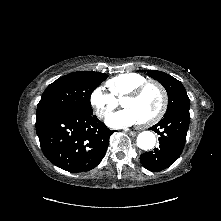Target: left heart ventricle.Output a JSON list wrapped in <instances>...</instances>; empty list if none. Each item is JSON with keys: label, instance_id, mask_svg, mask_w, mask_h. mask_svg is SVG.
<instances>
[{"label": "left heart ventricle", "instance_id": "left-heart-ventricle-1", "mask_svg": "<svg viewBox=\"0 0 221 221\" xmlns=\"http://www.w3.org/2000/svg\"><path fill=\"white\" fill-rule=\"evenodd\" d=\"M122 106L131 110L139 122H142L152 117L159 110L161 95L156 87L149 86L138 98L123 100Z\"/></svg>", "mask_w": 221, "mask_h": 221}]
</instances>
